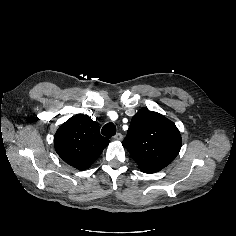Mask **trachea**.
Here are the masks:
<instances>
[{"label":"trachea","instance_id":"trachea-1","mask_svg":"<svg viewBox=\"0 0 236 236\" xmlns=\"http://www.w3.org/2000/svg\"><path fill=\"white\" fill-rule=\"evenodd\" d=\"M101 133L107 137L114 136L116 134V126L112 122H109L103 126Z\"/></svg>","mask_w":236,"mask_h":236}]
</instances>
